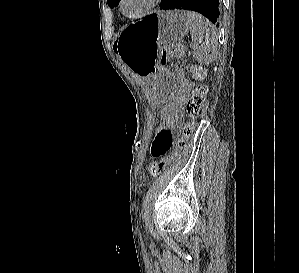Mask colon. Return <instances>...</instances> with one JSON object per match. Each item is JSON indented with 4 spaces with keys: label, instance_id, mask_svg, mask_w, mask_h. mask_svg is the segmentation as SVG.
Segmentation results:
<instances>
[{
    "label": "colon",
    "instance_id": "obj_1",
    "mask_svg": "<svg viewBox=\"0 0 299 273\" xmlns=\"http://www.w3.org/2000/svg\"><path fill=\"white\" fill-rule=\"evenodd\" d=\"M182 47L179 44H168L162 47L161 63L166 64L169 59L181 54ZM194 74L197 79H202L203 70L199 67L194 68ZM207 96V87L199 84L190 93L189 84L186 79L178 73V86L175 94L164 106L161 112V121L163 126L174 122L176 116L180 113L183 105H186L188 115L194 119L199 115ZM195 122L188 121L182 128V135L176 142L175 149L162 159L152 162L148 168V173L152 177L159 176L172 162L179 156L181 150L186 146L187 140L193 135Z\"/></svg>",
    "mask_w": 299,
    "mask_h": 273
}]
</instances>
